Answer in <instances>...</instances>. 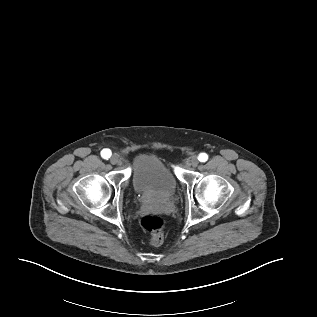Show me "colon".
Listing matches in <instances>:
<instances>
[{"label": "colon", "instance_id": "5ec220e1", "mask_svg": "<svg viewBox=\"0 0 317 317\" xmlns=\"http://www.w3.org/2000/svg\"><path fill=\"white\" fill-rule=\"evenodd\" d=\"M142 228L150 234L149 243L159 246L163 243L164 220L161 217L148 215L141 220Z\"/></svg>", "mask_w": 317, "mask_h": 317}]
</instances>
